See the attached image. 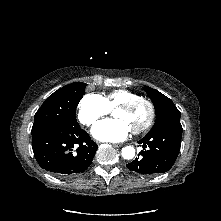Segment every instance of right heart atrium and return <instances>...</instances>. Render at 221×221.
<instances>
[{
  "label": "right heart atrium",
  "mask_w": 221,
  "mask_h": 221,
  "mask_svg": "<svg viewBox=\"0 0 221 221\" xmlns=\"http://www.w3.org/2000/svg\"><path fill=\"white\" fill-rule=\"evenodd\" d=\"M109 111L110 109L102 96L96 93H87L78 104L77 117L82 125L90 127L101 117L107 115Z\"/></svg>",
  "instance_id": "d8ad5b80"
}]
</instances>
